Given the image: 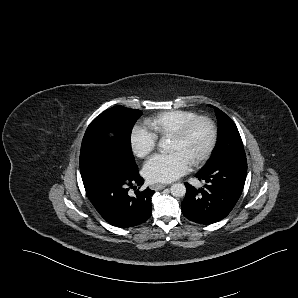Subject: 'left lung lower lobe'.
<instances>
[{
	"label": "left lung lower lobe",
	"instance_id": "left-lung-lower-lobe-1",
	"mask_svg": "<svg viewBox=\"0 0 298 298\" xmlns=\"http://www.w3.org/2000/svg\"><path fill=\"white\" fill-rule=\"evenodd\" d=\"M247 175L245 152L232 154L205 166L196 177L205 180L204 189L185 183L181 203L183 215L199 224H212L225 218L237 203Z\"/></svg>",
	"mask_w": 298,
	"mask_h": 298
}]
</instances>
